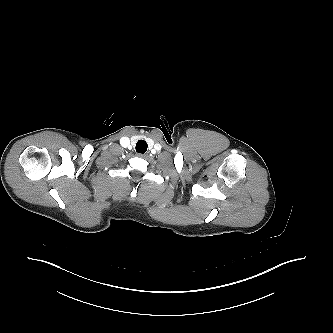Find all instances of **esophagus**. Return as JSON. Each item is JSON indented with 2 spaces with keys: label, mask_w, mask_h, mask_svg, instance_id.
Returning <instances> with one entry per match:
<instances>
[{
  "label": "esophagus",
  "mask_w": 333,
  "mask_h": 333,
  "mask_svg": "<svg viewBox=\"0 0 333 333\" xmlns=\"http://www.w3.org/2000/svg\"><path fill=\"white\" fill-rule=\"evenodd\" d=\"M136 156L140 157V158H144L146 156V154H141V153H138L136 154Z\"/></svg>",
  "instance_id": "1"
}]
</instances>
